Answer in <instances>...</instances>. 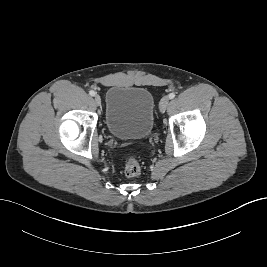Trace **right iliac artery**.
<instances>
[{
    "instance_id": "right-iliac-artery-1",
    "label": "right iliac artery",
    "mask_w": 267,
    "mask_h": 267,
    "mask_svg": "<svg viewBox=\"0 0 267 267\" xmlns=\"http://www.w3.org/2000/svg\"><path fill=\"white\" fill-rule=\"evenodd\" d=\"M89 94L91 95V96H95V92L93 91V90H91L90 92H89Z\"/></svg>"
}]
</instances>
